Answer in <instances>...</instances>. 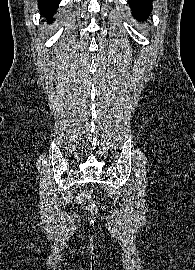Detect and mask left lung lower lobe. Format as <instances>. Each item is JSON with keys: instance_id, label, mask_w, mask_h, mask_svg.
<instances>
[{"instance_id": "obj_1", "label": "left lung lower lobe", "mask_w": 195, "mask_h": 270, "mask_svg": "<svg viewBox=\"0 0 195 270\" xmlns=\"http://www.w3.org/2000/svg\"><path fill=\"white\" fill-rule=\"evenodd\" d=\"M135 18L145 20L152 9V0H128Z\"/></svg>"}]
</instances>
